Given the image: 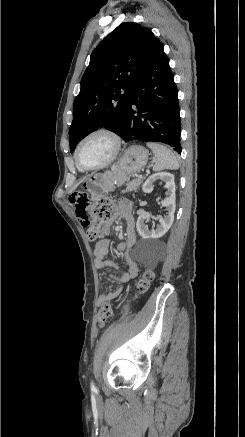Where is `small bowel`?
Listing matches in <instances>:
<instances>
[{
	"label": "small bowel",
	"instance_id": "obj_1",
	"mask_svg": "<svg viewBox=\"0 0 245 437\" xmlns=\"http://www.w3.org/2000/svg\"><path fill=\"white\" fill-rule=\"evenodd\" d=\"M73 201L71 205L76 208L75 215L77 222L82 224L84 229H89L91 227V214L88 207L89 202L87 199H81L78 196H73ZM122 217L126 222V234L125 240L120 242L117 249L120 253L128 254V252L133 248L136 242V232H135V221L132 214V205L127 200H122L118 202L114 208L113 218ZM112 224V219L107 220L103 225L102 232L104 235L109 233ZM109 240L107 238H102L95 244L94 248V264L96 268L111 267L118 268L114 261L108 260L107 256L109 254ZM139 271L138 263L136 260L127 257V265L125 271L121 277H117L114 274H110V278L118 281L120 283H127L128 281L134 279ZM123 287L120 286L115 290L111 287L108 288L107 293H101L99 296V303L107 301L110 297L117 296L121 293Z\"/></svg>",
	"mask_w": 245,
	"mask_h": 437
}]
</instances>
